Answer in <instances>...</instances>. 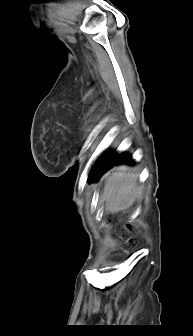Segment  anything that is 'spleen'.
Here are the masks:
<instances>
[{
	"label": "spleen",
	"instance_id": "1",
	"mask_svg": "<svg viewBox=\"0 0 193 336\" xmlns=\"http://www.w3.org/2000/svg\"><path fill=\"white\" fill-rule=\"evenodd\" d=\"M138 175L126 166H119L107 178L101 199L111 213L127 210L142 193Z\"/></svg>",
	"mask_w": 193,
	"mask_h": 336
}]
</instances>
